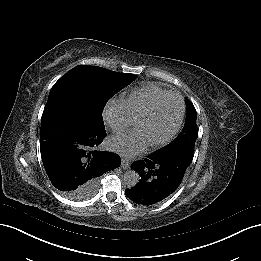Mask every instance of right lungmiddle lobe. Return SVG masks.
Returning <instances> with one entry per match:
<instances>
[{"label": "right lung middle lobe", "instance_id": "obj_1", "mask_svg": "<svg viewBox=\"0 0 261 261\" xmlns=\"http://www.w3.org/2000/svg\"><path fill=\"white\" fill-rule=\"evenodd\" d=\"M134 79L135 76L127 73L97 66H77L55 83L46 105L63 104L103 122L101 115L107 101ZM97 182L80 188V193L95 189Z\"/></svg>", "mask_w": 261, "mask_h": 261}]
</instances>
